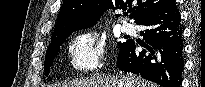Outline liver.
Wrapping results in <instances>:
<instances>
[{
    "label": "liver",
    "instance_id": "liver-1",
    "mask_svg": "<svg viewBox=\"0 0 205 87\" xmlns=\"http://www.w3.org/2000/svg\"><path fill=\"white\" fill-rule=\"evenodd\" d=\"M57 87H156L155 84L131 76H93L79 78Z\"/></svg>",
    "mask_w": 205,
    "mask_h": 87
}]
</instances>
